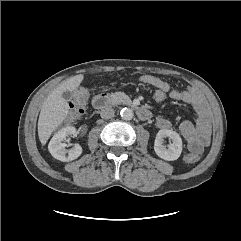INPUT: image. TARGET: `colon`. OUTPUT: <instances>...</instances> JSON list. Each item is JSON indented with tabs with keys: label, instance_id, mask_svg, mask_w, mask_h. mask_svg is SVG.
<instances>
[{
	"label": "colon",
	"instance_id": "obj_1",
	"mask_svg": "<svg viewBox=\"0 0 241 241\" xmlns=\"http://www.w3.org/2000/svg\"><path fill=\"white\" fill-rule=\"evenodd\" d=\"M152 98L157 103H163L168 98V93L160 88L153 87L151 92ZM88 92L86 90H79L73 97L70 103V112L66 123L75 122L83 113L87 105ZM184 161L187 163H195L198 161L199 157L193 153H187L183 157Z\"/></svg>",
	"mask_w": 241,
	"mask_h": 241
}]
</instances>
